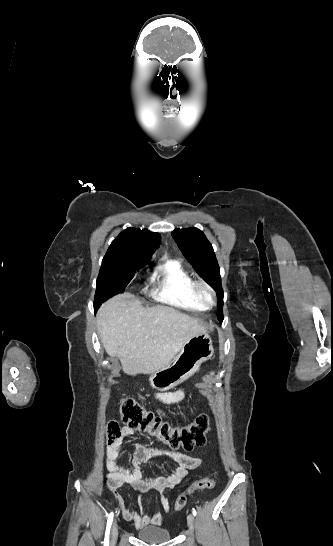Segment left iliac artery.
<instances>
[{
    "mask_svg": "<svg viewBox=\"0 0 333 546\" xmlns=\"http://www.w3.org/2000/svg\"><path fill=\"white\" fill-rule=\"evenodd\" d=\"M192 513H193L194 516H196V514H197L195 509L192 510Z\"/></svg>",
    "mask_w": 333,
    "mask_h": 546,
    "instance_id": "44dca946",
    "label": "left iliac artery"
}]
</instances>
